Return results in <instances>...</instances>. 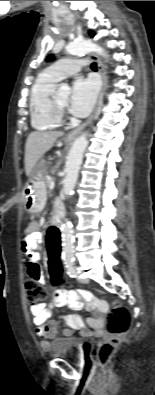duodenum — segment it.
Segmentation results:
<instances>
[{
    "instance_id": "duodenum-1",
    "label": "duodenum",
    "mask_w": 155,
    "mask_h": 395,
    "mask_svg": "<svg viewBox=\"0 0 155 395\" xmlns=\"http://www.w3.org/2000/svg\"><path fill=\"white\" fill-rule=\"evenodd\" d=\"M64 218V212L61 209H57L53 215L52 222L55 227H59Z\"/></svg>"
}]
</instances>
